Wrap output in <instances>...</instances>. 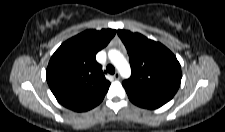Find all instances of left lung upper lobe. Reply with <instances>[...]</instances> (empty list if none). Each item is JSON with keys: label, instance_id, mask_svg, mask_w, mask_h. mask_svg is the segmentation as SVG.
<instances>
[{"label": "left lung upper lobe", "instance_id": "1", "mask_svg": "<svg viewBox=\"0 0 225 132\" xmlns=\"http://www.w3.org/2000/svg\"><path fill=\"white\" fill-rule=\"evenodd\" d=\"M131 65V77L123 81L128 97L147 101H170L181 82V66L164 45L139 33L118 30Z\"/></svg>", "mask_w": 225, "mask_h": 132}]
</instances>
